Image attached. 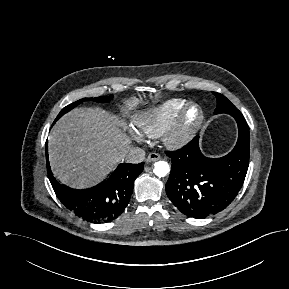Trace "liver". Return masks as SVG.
<instances>
[{"label":"liver","mask_w":289,"mask_h":289,"mask_svg":"<svg viewBox=\"0 0 289 289\" xmlns=\"http://www.w3.org/2000/svg\"><path fill=\"white\" fill-rule=\"evenodd\" d=\"M130 139L118 120L102 109L65 114L49 136V157L57 177L73 188L96 185L124 159Z\"/></svg>","instance_id":"liver-1"}]
</instances>
